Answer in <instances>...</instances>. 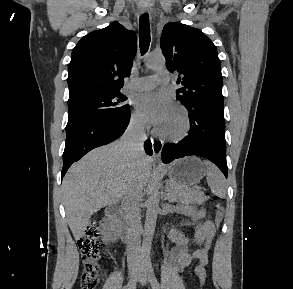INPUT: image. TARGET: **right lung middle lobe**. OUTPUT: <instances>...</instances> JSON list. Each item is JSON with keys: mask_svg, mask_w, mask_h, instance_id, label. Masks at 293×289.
<instances>
[{"mask_svg": "<svg viewBox=\"0 0 293 289\" xmlns=\"http://www.w3.org/2000/svg\"><path fill=\"white\" fill-rule=\"evenodd\" d=\"M127 97L120 92L96 94L68 101L69 116L66 131L78 125L126 112L130 109L125 103Z\"/></svg>", "mask_w": 293, "mask_h": 289, "instance_id": "obj_1", "label": "right lung middle lobe"}]
</instances>
